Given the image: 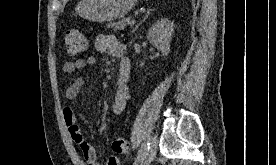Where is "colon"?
<instances>
[{
	"instance_id": "colon-1",
	"label": "colon",
	"mask_w": 276,
	"mask_h": 165,
	"mask_svg": "<svg viewBox=\"0 0 276 165\" xmlns=\"http://www.w3.org/2000/svg\"><path fill=\"white\" fill-rule=\"evenodd\" d=\"M66 51L70 56H77L84 52L87 42L84 35L76 28H69L64 36ZM112 150L116 154H124L128 150V142L123 137H117L112 142Z\"/></svg>"
}]
</instances>
